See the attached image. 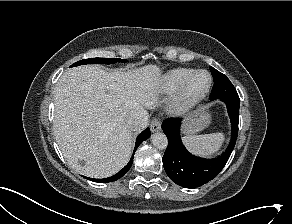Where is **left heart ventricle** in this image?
I'll use <instances>...</instances> for the list:
<instances>
[{
    "label": "left heart ventricle",
    "mask_w": 292,
    "mask_h": 224,
    "mask_svg": "<svg viewBox=\"0 0 292 224\" xmlns=\"http://www.w3.org/2000/svg\"><path fill=\"white\" fill-rule=\"evenodd\" d=\"M209 83V76L206 73L198 74L189 86V92L191 94L201 93L206 89Z\"/></svg>",
    "instance_id": "obj_1"
}]
</instances>
